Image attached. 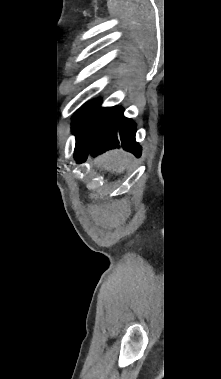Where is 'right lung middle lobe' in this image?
<instances>
[{
  "label": "right lung middle lobe",
  "instance_id": "dd1d6c3e",
  "mask_svg": "<svg viewBox=\"0 0 221 379\" xmlns=\"http://www.w3.org/2000/svg\"><path fill=\"white\" fill-rule=\"evenodd\" d=\"M100 101L82 107L73 117L76 143H94L116 115V107L100 108Z\"/></svg>",
  "mask_w": 221,
  "mask_h": 379
}]
</instances>
